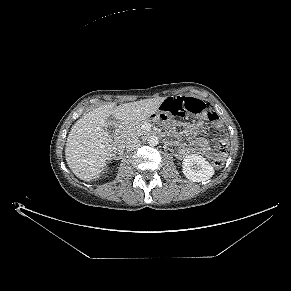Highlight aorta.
<instances>
[{
    "label": "aorta",
    "instance_id": "762f6f07",
    "mask_svg": "<svg viewBox=\"0 0 291 291\" xmlns=\"http://www.w3.org/2000/svg\"><path fill=\"white\" fill-rule=\"evenodd\" d=\"M147 142H148V144L150 145V146H156L157 144H158V142H159V140H158V137L157 136H150L149 138H148V140H147Z\"/></svg>",
    "mask_w": 291,
    "mask_h": 291
}]
</instances>
